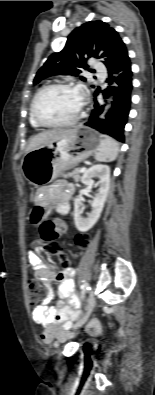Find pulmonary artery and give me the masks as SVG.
Listing matches in <instances>:
<instances>
[{
  "mask_svg": "<svg viewBox=\"0 0 155 395\" xmlns=\"http://www.w3.org/2000/svg\"><path fill=\"white\" fill-rule=\"evenodd\" d=\"M94 67L97 70L99 76L101 78H104L105 77V70H104L103 66L100 63H94Z\"/></svg>",
  "mask_w": 155,
  "mask_h": 395,
  "instance_id": "pulmonary-artery-1",
  "label": "pulmonary artery"
}]
</instances>
